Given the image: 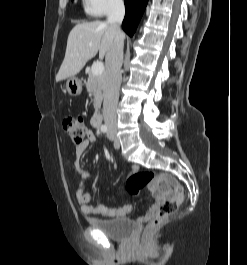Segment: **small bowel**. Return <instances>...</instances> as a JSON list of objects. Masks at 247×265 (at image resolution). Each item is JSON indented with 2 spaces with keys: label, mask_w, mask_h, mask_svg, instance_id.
Returning a JSON list of instances; mask_svg holds the SVG:
<instances>
[{
  "label": "small bowel",
  "mask_w": 247,
  "mask_h": 265,
  "mask_svg": "<svg viewBox=\"0 0 247 265\" xmlns=\"http://www.w3.org/2000/svg\"><path fill=\"white\" fill-rule=\"evenodd\" d=\"M95 140H96L95 134L92 131H88L86 142L83 145L78 146L76 148L75 167L81 178L79 187L76 191V200L81 208V211L86 215H95V216L111 217V218L126 217L130 215L133 210V206L130 203L124 204L123 206L120 207L103 205V204L93 205L91 204L90 194L85 191V184L87 180L90 178V173L89 171L82 168L80 160L87 148L88 143L94 142ZM137 170H138L137 166L132 167L133 173L137 172ZM152 196L154 198V202L149 207L146 214L143 217H141V220H150L152 217H154L157 214L161 203L166 199L172 198L174 196V193L172 190L157 191L153 192Z\"/></svg>",
  "instance_id": "small-bowel-1"
}]
</instances>
